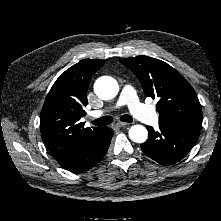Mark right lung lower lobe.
<instances>
[{
    "mask_svg": "<svg viewBox=\"0 0 221 221\" xmlns=\"http://www.w3.org/2000/svg\"><path fill=\"white\" fill-rule=\"evenodd\" d=\"M112 135V129L103 127L86 144L57 162L71 172L87 171L105 156Z\"/></svg>",
    "mask_w": 221,
    "mask_h": 221,
    "instance_id": "right-lung-lower-lobe-1",
    "label": "right lung lower lobe"
}]
</instances>
